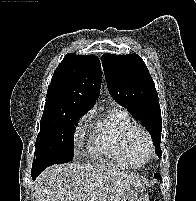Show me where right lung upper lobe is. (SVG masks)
Masks as SVG:
<instances>
[{
	"label": "right lung upper lobe",
	"mask_w": 196,
	"mask_h": 201,
	"mask_svg": "<svg viewBox=\"0 0 196 201\" xmlns=\"http://www.w3.org/2000/svg\"><path fill=\"white\" fill-rule=\"evenodd\" d=\"M101 64L95 55L68 53L54 71L43 116L71 110L88 111L98 98Z\"/></svg>",
	"instance_id": "obj_1"
}]
</instances>
